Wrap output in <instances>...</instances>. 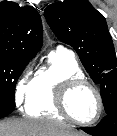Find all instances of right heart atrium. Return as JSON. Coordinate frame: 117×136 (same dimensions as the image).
I'll return each instance as SVG.
<instances>
[{"label": "right heart atrium", "instance_id": "1", "mask_svg": "<svg viewBox=\"0 0 117 136\" xmlns=\"http://www.w3.org/2000/svg\"><path fill=\"white\" fill-rule=\"evenodd\" d=\"M33 83L32 66L29 65L21 73L14 87V102L17 107L22 106L27 101L32 93Z\"/></svg>", "mask_w": 117, "mask_h": 136}]
</instances>
